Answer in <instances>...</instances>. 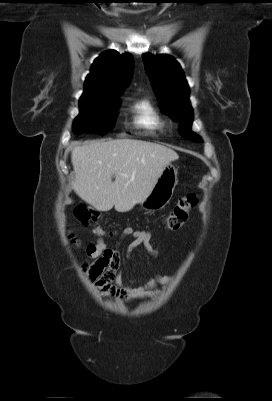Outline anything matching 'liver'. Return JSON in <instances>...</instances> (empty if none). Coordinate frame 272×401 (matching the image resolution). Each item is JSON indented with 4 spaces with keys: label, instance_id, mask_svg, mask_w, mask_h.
I'll return each mask as SVG.
<instances>
[{
    "label": "liver",
    "instance_id": "6515ba94",
    "mask_svg": "<svg viewBox=\"0 0 272 401\" xmlns=\"http://www.w3.org/2000/svg\"><path fill=\"white\" fill-rule=\"evenodd\" d=\"M178 158L174 150L152 142L94 140L72 150L73 189L100 211L114 206L118 212H128L150 194L164 168Z\"/></svg>",
    "mask_w": 272,
    "mask_h": 401
}]
</instances>
